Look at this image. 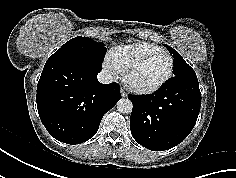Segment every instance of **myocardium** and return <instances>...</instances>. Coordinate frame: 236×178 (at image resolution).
I'll list each match as a JSON object with an SVG mask.
<instances>
[{
	"label": "myocardium",
	"mask_w": 236,
	"mask_h": 178,
	"mask_svg": "<svg viewBox=\"0 0 236 178\" xmlns=\"http://www.w3.org/2000/svg\"><path fill=\"white\" fill-rule=\"evenodd\" d=\"M157 55H167L170 59V66L169 69L166 73V75L156 84L154 85H150V86H142L139 85L137 83H135L132 80V75L133 73L147 60L157 56ZM174 71V58L173 56L165 51V50H161V51H155L152 52L146 56H143L139 59H137L136 61H134L132 64H130L128 66V68L123 72V82L124 84L133 92L139 93V94H149L152 92H155L157 90H159L164 84H166L168 82V80L171 78L172 74Z\"/></svg>",
	"instance_id": "1"
}]
</instances>
